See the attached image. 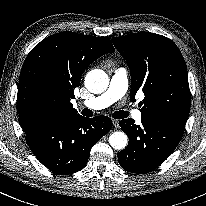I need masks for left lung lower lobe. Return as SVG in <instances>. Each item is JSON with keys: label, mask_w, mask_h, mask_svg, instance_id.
Masks as SVG:
<instances>
[{"label": "left lung lower lobe", "mask_w": 206, "mask_h": 206, "mask_svg": "<svg viewBox=\"0 0 206 206\" xmlns=\"http://www.w3.org/2000/svg\"><path fill=\"white\" fill-rule=\"evenodd\" d=\"M136 125L131 118L119 122L129 143L118 154L121 167L132 173H148L160 166L179 144L184 128L141 119Z\"/></svg>", "instance_id": "0a47b994"}]
</instances>
